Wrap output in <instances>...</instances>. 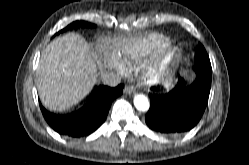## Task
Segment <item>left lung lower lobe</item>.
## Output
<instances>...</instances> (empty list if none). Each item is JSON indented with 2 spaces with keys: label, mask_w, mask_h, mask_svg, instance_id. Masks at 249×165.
<instances>
[{
  "label": "left lung lower lobe",
  "mask_w": 249,
  "mask_h": 165,
  "mask_svg": "<svg viewBox=\"0 0 249 165\" xmlns=\"http://www.w3.org/2000/svg\"><path fill=\"white\" fill-rule=\"evenodd\" d=\"M196 79L191 86L180 82L171 92L152 94L151 106L145 116L150 129L177 136L194 128L201 119L209 98L212 68H194Z\"/></svg>",
  "instance_id": "obj_1"
}]
</instances>
